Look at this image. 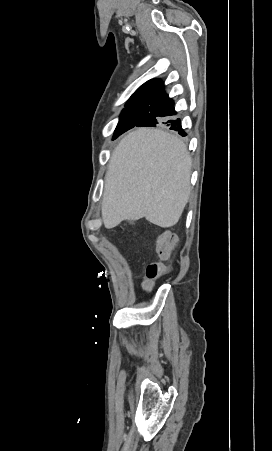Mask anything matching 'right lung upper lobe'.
I'll return each instance as SVG.
<instances>
[{
	"label": "right lung upper lobe",
	"mask_w": 272,
	"mask_h": 451,
	"mask_svg": "<svg viewBox=\"0 0 272 451\" xmlns=\"http://www.w3.org/2000/svg\"><path fill=\"white\" fill-rule=\"evenodd\" d=\"M163 88L164 86L160 80H150L140 86L129 100L154 98L163 90Z\"/></svg>",
	"instance_id": "1"
}]
</instances>
